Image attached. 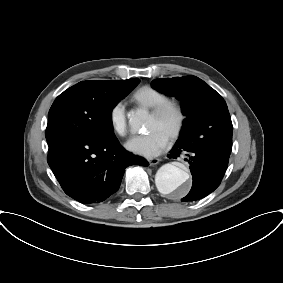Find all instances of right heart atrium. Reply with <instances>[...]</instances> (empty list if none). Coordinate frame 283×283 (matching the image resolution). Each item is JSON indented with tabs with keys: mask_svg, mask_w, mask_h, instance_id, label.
Here are the masks:
<instances>
[{
	"mask_svg": "<svg viewBox=\"0 0 283 283\" xmlns=\"http://www.w3.org/2000/svg\"><path fill=\"white\" fill-rule=\"evenodd\" d=\"M109 121L115 134L125 137L128 134L126 107L123 102H116L110 109Z\"/></svg>",
	"mask_w": 283,
	"mask_h": 283,
	"instance_id": "d8ad5b80",
	"label": "right heart atrium"
}]
</instances>
